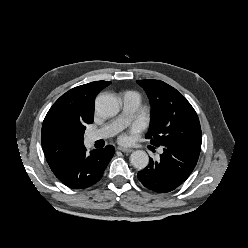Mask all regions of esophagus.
<instances>
[{
	"mask_svg": "<svg viewBox=\"0 0 248 248\" xmlns=\"http://www.w3.org/2000/svg\"><path fill=\"white\" fill-rule=\"evenodd\" d=\"M118 149L124 153H130L133 151L131 148H127V147H118Z\"/></svg>",
	"mask_w": 248,
	"mask_h": 248,
	"instance_id": "34e87169",
	"label": "esophagus"
}]
</instances>
